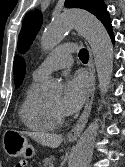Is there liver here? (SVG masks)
Returning <instances> with one entry per match:
<instances>
[{"instance_id":"obj_1","label":"liver","mask_w":125,"mask_h":167,"mask_svg":"<svg viewBox=\"0 0 125 167\" xmlns=\"http://www.w3.org/2000/svg\"><path fill=\"white\" fill-rule=\"evenodd\" d=\"M22 135L33 138L43 146L51 148H57L62 143L63 138L61 135L50 134V133H38V132H19Z\"/></svg>"}]
</instances>
